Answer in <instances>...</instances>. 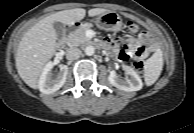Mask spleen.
<instances>
[{
  "label": "spleen",
  "instance_id": "3e777b00",
  "mask_svg": "<svg viewBox=\"0 0 194 133\" xmlns=\"http://www.w3.org/2000/svg\"><path fill=\"white\" fill-rule=\"evenodd\" d=\"M163 68V53L157 49L155 53L146 60L144 65V80L147 86L154 84L159 78Z\"/></svg>",
  "mask_w": 194,
  "mask_h": 133
}]
</instances>
